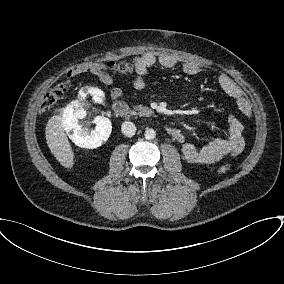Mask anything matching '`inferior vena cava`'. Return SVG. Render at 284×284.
<instances>
[{"label": "inferior vena cava", "mask_w": 284, "mask_h": 284, "mask_svg": "<svg viewBox=\"0 0 284 284\" xmlns=\"http://www.w3.org/2000/svg\"><path fill=\"white\" fill-rule=\"evenodd\" d=\"M122 133L125 135V136H128V137H132L135 132H136V126L133 122H130V121H125L123 124H122Z\"/></svg>", "instance_id": "obj_1"}]
</instances>
